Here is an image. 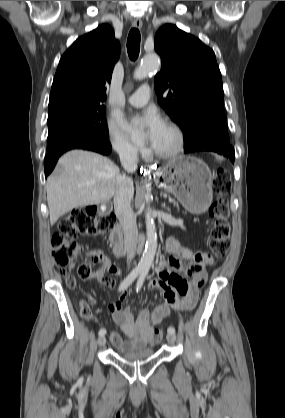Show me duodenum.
<instances>
[{"label": "duodenum", "instance_id": "410a0bca", "mask_svg": "<svg viewBox=\"0 0 285 418\" xmlns=\"http://www.w3.org/2000/svg\"><path fill=\"white\" fill-rule=\"evenodd\" d=\"M110 243L112 245L113 254L116 257H122L125 253L123 244V233L120 224H117L110 233ZM144 247V243H140L136 249L137 252Z\"/></svg>", "mask_w": 285, "mask_h": 418}]
</instances>
